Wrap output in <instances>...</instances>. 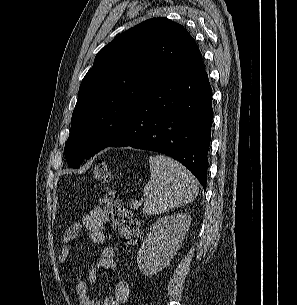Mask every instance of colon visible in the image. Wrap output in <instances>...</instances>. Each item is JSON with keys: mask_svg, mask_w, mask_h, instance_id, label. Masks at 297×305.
I'll return each mask as SVG.
<instances>
[{"mask_svg": "<svg viewBox=\"0 0 297 305\" xmlns=\"http://www.w3.org/2000/svg\"><path fill=\"white\" fill-rule=\"evenodd\" d=\"M93 180L102 190L100 202L107 211L114 230L127 245H137L141 238L138 223L133 218L132 212L121 203L117 193L109 188L110 173L105 162L96 163Z\"/></svg>", "mask_w": 297, "mask_h": 305, "instance_id": "5ec220e1", "label": "colon"}]
</instances>
